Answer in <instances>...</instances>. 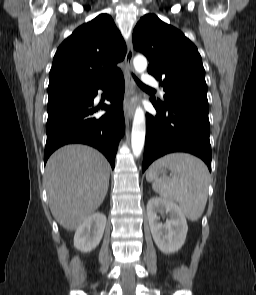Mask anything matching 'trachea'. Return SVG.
<instances>
[{
  "mask_svg": "<svg viewBox=\"0 0 256 295\" xmlns=\"http://www.w3.org/2000/svg\"><path fill=\"white\" fill-rule=\"evenodd\" d=\"M133 78L140 87L148 89V90H154V89L144 85L142 82H140L135 75H133Z\"/></svg>",
  "mask_w": 256,
  "mask_h": 295,
  "instance_id": "3493384b",
  "label": "trachea"
}]
</instances>
